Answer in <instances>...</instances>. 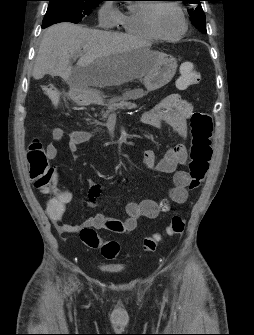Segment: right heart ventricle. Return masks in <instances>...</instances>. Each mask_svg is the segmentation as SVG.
Instances as JSON below:
<instances>
[{"label":"right heart ventricle","mask_w":254,"mask_h":335,"mask_svg":"<svg viewBox=\"0 0 254 335\" xmlns=\"http://www.w3.org/2000/svg\"><path fill=\"white\" fill-rule=\"evenodd\" d=\"M150 4H139L136 9L120 13L118 24L129 35L154 40L156 37L148 29L145 12Z\"/></svg>","instance_id":"e07e8e85"}]
</instances>
